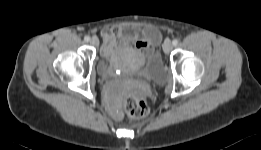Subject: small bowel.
Here are the masks:
<instances>
[{
    "mask_svg": "<svg viewBox=\"0 0 261 150\" xmlns=\"http://www.w3.org/2000/svg\"><path fill=\"white\" fill-rule=\"evenodd\" d=\"M102 37L104 40V49L115 46L116 40L121 38L126 41L134 40V48L146 54L153 51L154 46L161 39L160 32L153 27L144 28L141 33L133 29L114 27L103 30Z\"/></svg>",
    "mask_w": 261,
    "mask_h": 150,
    "instance_id": "1",
    "label": "small bowel"
}]
</instances>
